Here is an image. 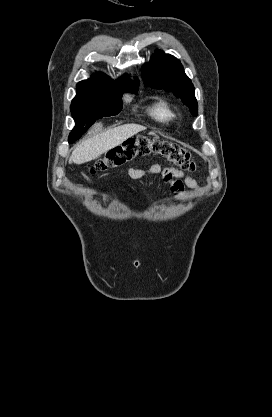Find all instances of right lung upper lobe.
Listing matches in <instances>:
<instances>
[{
    "label": "right lung upper lobe",
    "instance_id": "right-lung-upper-lobe-1",
    "mask_svg": "<svg viewBox=\"0 0 272 417\" xmlns=\"http://www.w3.org/2000/svg\"><path fill=\"white\" fill-rule=\"evenodd\" d=\"M139 86V80H131L128 75L113 81L108 76L96 73L92 78L77 84V95L72 102H80L94 94H117L132 91Z\"/></svg>",
    "mask_w": 272,
    "mask_h": 417
}]
</instances>
